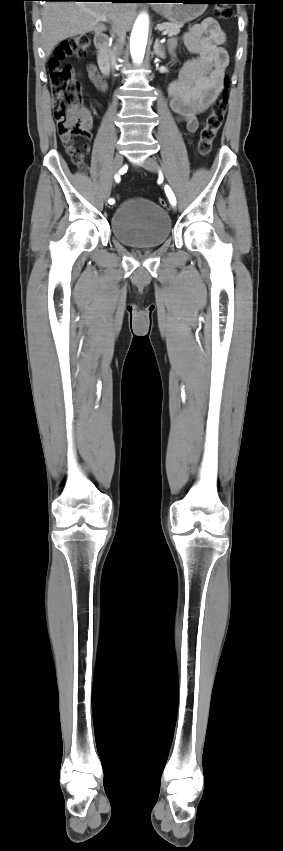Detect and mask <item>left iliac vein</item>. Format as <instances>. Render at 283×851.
Listing matches in <instances>:
<instances>
[{
  "mask_svg": "<svg viewBox=\"0 0 283 851\" xmlns=\"http://www.w3.org/2000/svg\"><path fill=\"white\" fill-rule=\"evenodd\" d=\"M142 167L150 172H157L159 169L158 163L155 159L148 157L142 163ZM173 211H176L175 205L172 206Z\"/></svg>",
  "mask_w": 283,
  "mask_h": 851,
  "instance_id": "1",
  "label": "left iliac vein"
}]
</instances>
